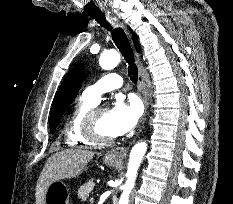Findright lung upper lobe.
<instances>
[{"label":"right lung upper lobe","mask_w":233,"mask_h":204,"mask_svg":"<svg viewBox=\"0 0 233 204\" xmlns=\"http://www.w3.org/2000/svg\"><path fill=\"white\" fill-rule=\"evenodd\" d=\"M133 42H134L136 50L139 52L140 51V45H139L138 38H137L136 35L133 36Z\"/></svg>","instance_id":"cb5924a9"}]
</instances>
